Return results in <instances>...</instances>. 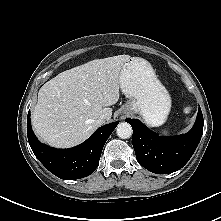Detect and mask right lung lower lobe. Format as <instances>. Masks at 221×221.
Instances as JSON below:
<instances>
[{"mask_svg":"<svg viewBox=\"0 0 221 221\" xmlns=\"http://www.w3.org/2000/svg\"><path fill=\"white\" fill-rule=\"evenodd\" d=\"M119 122L98 128L85 142L69 149H55L42 144L32 131L30 111L27 116V136L37 159L55 176L74 180L89 176L99 165L102 149Z\"/></svg>","mask_w":221,"mask_h":221,"instance_id":"1","label":"right lung lower lobe"}]
</instances>
